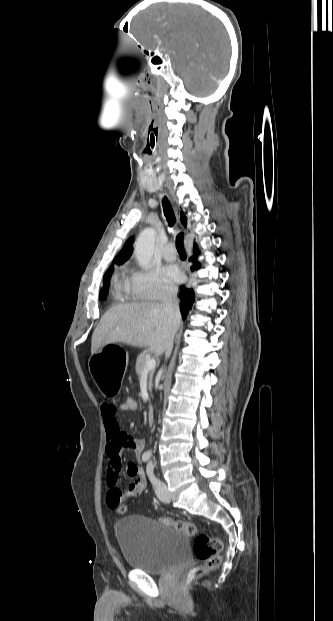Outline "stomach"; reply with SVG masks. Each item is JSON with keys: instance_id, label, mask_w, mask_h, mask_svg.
Here are the masks:
<instances>
[{"instance_id": "0dacf381", "label": "stomach", "mask_w": 333, "mask_h": 621, "mask_svg": "<svg viewBox=\"0 0 333 621\" xmlns=\"http://www.w3.org/2000/svg\"><path fill=\"white\" fill-rule=\"evenodd\" d=\"M122 342L114 340L102 344L101 350H94L91 356L92 380L102 396L111 399L122 389L124 371L128 356Z\"/></svg>"}]
</instances>
